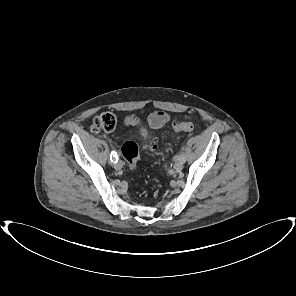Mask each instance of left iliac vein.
<instances>
[{"mask_svg":"<svg viewBox=\"0 0 296 296\" xmlns=\"http://www.w3.org/2000/svg\"><path fill=\"white\" fill-rule=\"evenodd\" d=\"M183 164H184V162L180 158H178L176 160V162L174 163V170L175 171H181L182 168H183Z\"/></svg>","mask_w":296,"mask_h":296,"instance_id":"1","label":"left iliac vein"}]
</instances>
